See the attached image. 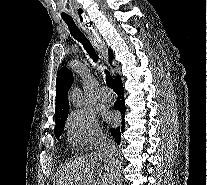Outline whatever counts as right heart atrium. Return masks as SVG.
I'll return each instance as SVG.
<instances>
[{
  "instance_id": "obj_1",
  "label": "right heart atrium",
  "mask_w": 207,
  "mask_h": 185,
  "mask_svg": "<svg viewBox=\"0 0 207 185\" xmlns=\"http://www.w3.org/2000/svg\"><path fill=\"white\" fill-rule=\"evenodd\" d=\"M65 127L70 139L85 150L96 149L104 139L95 114L84 108L71 111L66 118Z\"/></svg>"
}]
</instances>
